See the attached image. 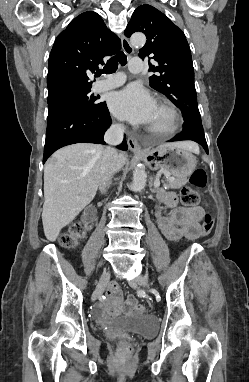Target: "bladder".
Returning a JSON list of instances; mask_svg holds the SVG:
<instances>
[{
  "instance_id": "bladder-1",
  "label": "bladder",
  "mask_w": 249,
  "mask_h": 382,
  "mask_svg": "<svg viewBox=\"0 0 249 382\" xmlns=\"http://www.w3.org/2000/svg\"><path fill=\"white\" fill-rule=\"evenodd\" d=\"M112 323L125 332L142 336H151L157 331V320L148 314L122 316L114 319Z\"/></svg>"
}]
</instances>
